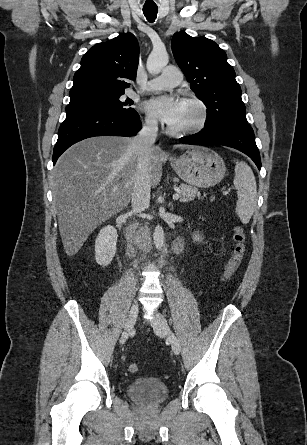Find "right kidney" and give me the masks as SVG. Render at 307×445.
I'll return each mask as SVG.
<instances>
[{"label":"right kidney","instance_id":"obj_1","mask_svg":"<svg viewBox=\"0 0 307 445\" xmlns=\"http://www.w3.org/2000/svg\"><path fill=\"white\" fill-rule=\"evenodd\" d=\"M117 237V231L111 225L101 229L95 243V259L101 267L110 265L116 253Z\"/></svg>","mask_w":307,"mask_h":445}]
</instances>
